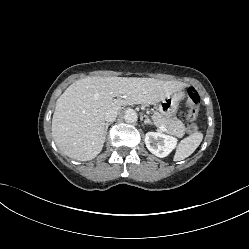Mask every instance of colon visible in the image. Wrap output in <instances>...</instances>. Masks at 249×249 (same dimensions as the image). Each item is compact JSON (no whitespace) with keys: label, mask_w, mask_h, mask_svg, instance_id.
Wrapping results in <instances>:
<instances>
[{"label":"colon","mask_w":249,"mask_h":249,"mask_svg":"<svg viewBox=\"0 0 249 249\" xmlns=\"http://www.w3.org/2000/svg\"><path fill=\"white\" fill-rule=\"evenodd\" d=\"M188 113L186 116L187 130L189 133H193L196 130L195 119L197 117L199 106H200V96L197 91L193 88H189L186 91Z\"/></svg>","instance_id":"colon-1"}]
</instances>
